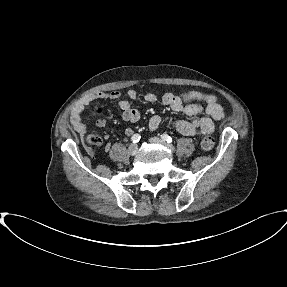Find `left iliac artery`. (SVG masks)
Returning a JSON list of instances; mask_svg holds the SVG:
<instances>
[{
  "mask_svg": "<svg viewBox=\"0 0 287 287\" xmlns=\"http://www.w3.org/2000/svg\"><path fill=\"white\" fill-rule=\"evenodd\" d=\"M161 138H162L164 141H166L167 143H172V141H173L172 137H170V136L167 135V134H162V135H161Z\"/></svg>",
  "mask_w": 287,
  "mask_h": 287,
  "instance_id": "left-iliac-artery-1",
  "label": "left iliac artery"
}]
</instances>
